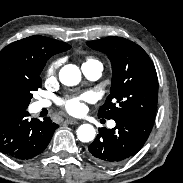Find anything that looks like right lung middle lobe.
<instances>
[{
    "mask_svg": "<svg viewBox=\"0 0 183 183\" xmlns=\"http://www.w3.org/2000/svg\"><path fill=\"white\" fill-rule=\"evenodd\" d=\"M43 68L44 65L40 66L36 75L24 80L19 85L12 88V94L20 103L23 110L27 109L29 102L32 99V92L42 87L40 73Z\"/></svg>",
    "mask_w": 183,
    "mask_h": 183,
    "instance_id": "obj_1",
    "label": "right lung middle lobe"
}]
</instances>
